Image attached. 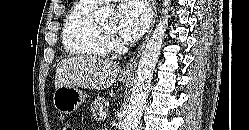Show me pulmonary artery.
I'll return each instance as SVG.
<instances>
[{
    "label": "pulmonary artery",
    "mask_w": 249,
    "mask_h": 130,
    "mask_svg": "<svg viewBox=\"0 0 249 130\" xmlns=\"http://www.w3.org/2000/svg\"><path fill=\"white\" fill-rule=\"evenodd\" d=\"M93 1H95L97 3H103V2H107V1H111V0H93Z\"/></svg>",
    "instance_id": "e3ab8cb5"
}]
</instances>
